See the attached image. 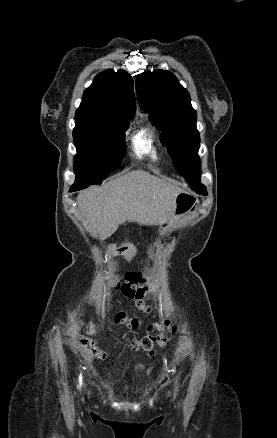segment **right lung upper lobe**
Listing matches in <instances>:
<instances>
[{
    "mask_svg": "<svg viewBox=\"0 0 277 438\" xmlns=\"http://www.w3.org/2000/svg\"><path fill=\"white\" fill-rule=\"evenodd\" d=\"M136 101L132 77L124 70L99 73L84 91L76 123L111 125L134 117Z\"/></svg>",
    "mask_w": 277,
    "mask_h": 438,
    "instance_id": "cb5924a9",
    "label": "right lung upper lobe"
}]
</instances>
